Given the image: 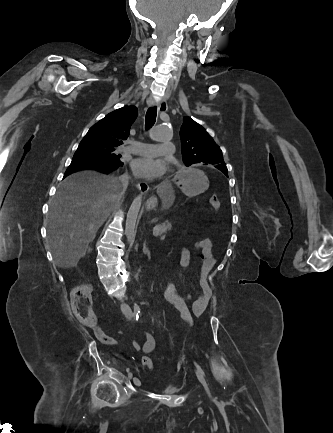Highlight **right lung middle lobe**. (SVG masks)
<instances>
[{"label":"right lung middle lobe","instance_id":"1","mask_svg":"<svg viewBox=\"0 0 333 433\" xmlns=\"http://www.w3.org/2000/svg\"><path fill=\"white\" fill-rule=\"evenodd\" d=\"M120 157L121 155L116 153V149L100 148L88 141L82 140L73 156V159L95 160L109 164H120Z\"/></svg>","mask_w":333,"mask_h":433}]
</instances>
